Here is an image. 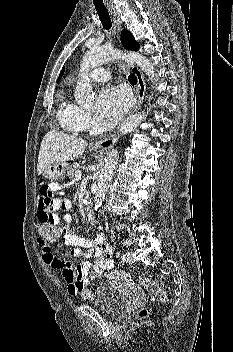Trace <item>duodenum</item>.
<instances>
[{
  "label": "duodenum",
  "mask_w": 233,
  "mask_h": 352,
  "mask_svg": "<svg viewBox=\"0 0 233 352\" xmlns=\"http://www.w3.org/2000/svg\"><path fill=\"white\" fill-rule=\"evenodd\" d=\"M86 217L89 219V220H93L94 218V211H93V208L91 206H88L86 208Z\"/></svg>",
  "instance_id": "duodenum-1"
}]
</instances>
